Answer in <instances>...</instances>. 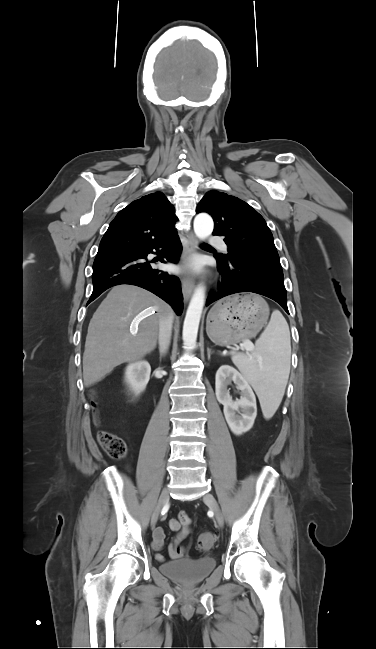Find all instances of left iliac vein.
<instances>
[{
	"label": "left iliac vein",
	"mask_w": 376,
	"mask_h": 649,
	"mask_svg": "<svg viewBox=\"0 0 376 649\" xmlns=\"http://www.w3.org/2000/svg\"><path fill=\"white\" fill-rule=\"evenodd\" d=\"M203 501L207 504V506L212 510L214 513V517L220 527H223L224 525V518L223 514L220 510V507L214 498V496L210 493H207L203 496Z\"/></svg>",
	"instance_id": "4c4485c4"
}]
</instances>
